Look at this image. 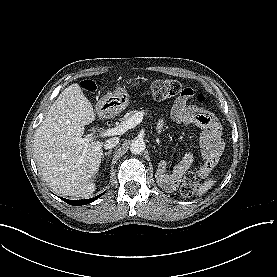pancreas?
I'll return each instance as SVG.
<instances>
[{
  "label": "pancreas",
  "mask_w": 277,
  "mask_h": 277,
  "mask_svg": "<svg viewBox=\"0 0 277 277\" xmlns=\"http://www.w3.org/2000/svg\"><path fill=\"white\" fill-rule=\"evenodd\" d=\"M137 110H130L128 113H126L121 119H120V124L124 123L127 121L131 116H133L135 113H137Z\"/></svg>",
  "instance_id": "pancreas-1"
}]
</instances>
